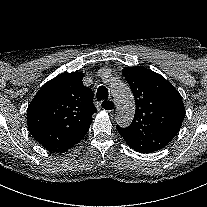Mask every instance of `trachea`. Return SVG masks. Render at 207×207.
<instances>
[{
    "instance_id": "obj_1",
    "label": "trachea",
    "mask_w": 207,
    "mask_h": 207,
    "mask_svg": "<svg viewBox=\"0 0 207 207\" xmlns=\"http://www.w3.org/2000/svg\"><path fill=\"white\" fill-rule=\"evenodd\" d=\"M96 98L98 101L103 100L102 106H107V104L111 103V101H107L108 98V90L104 86H100L96 93Z\"/></svg>"
}]
</instances>
